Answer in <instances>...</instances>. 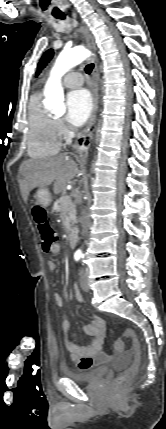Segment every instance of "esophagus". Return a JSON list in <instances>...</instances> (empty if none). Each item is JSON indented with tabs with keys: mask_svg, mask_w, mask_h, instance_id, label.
Returning a JSON list of instances; mask_svg holds the SVG:
<instances>
[{
	"mask_svg": "<svg viewBox=\"0 0 166 429\" xmlns=\"http://www.w3.org/2000/svg\"><path fill=\"white\" fill-rule=\"evenodd\" d=\"M73 16L76 17V13H74ZM82 31L85 34L86 38L88 40H90V47L95 51L96 50V44H95L94 37L92 36L88 27L85 24L82 27ZM98 80H99V71H98V62L96 60L94 63V68H93V72H92L93 108H92V112H91V115L89 117V120L86 124V127L83 130L82 137H85L89 133L92 125L94 124L95 118H96V112H97V108H98Z\"/></svg>",
	"mask_w": 166,
	"mask_h": 429,
	"instance_id": "34e87169",
	"label": "esophagus"
}]
</instances>
